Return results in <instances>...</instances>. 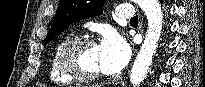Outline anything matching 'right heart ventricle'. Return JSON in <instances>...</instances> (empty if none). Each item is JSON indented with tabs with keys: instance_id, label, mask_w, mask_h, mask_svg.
Returning <instances> with one entry per match:
<instances>
[{
	"instance_id": "right-heart-ventricle-1",
	"label": "right heart ventricle",
	"mask_w": 205,
	"mask_h": 87,
	"mask_svg": "<svg viewBox=\"0 0 205 87\" xmlns=\"http://www.w3.org/2000/svg\"><path fill=\"white\" fill-rule=\"evenodd\" d=\"M75 36L66 35L62 37L55 45L49 64V77L52 83L57 85H67L72 82L73 79L66 76L59 67L58 56L61 49L70 41L74 40Z\"/></svg>"
}]
</instances>
